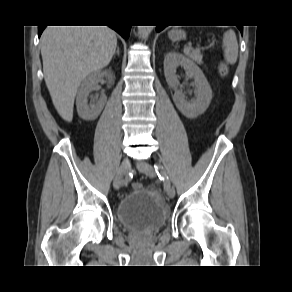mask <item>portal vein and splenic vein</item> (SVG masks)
<instances>
[{
  "label": "portal vein and splenic vein",
  "instance_id": "portal-vein-and-splenic-vein-1",
  "mask_svg": "<svg viewBox=\"0 0 292 292\" xmlns=\"http://www.w3.org/2000/svg\"><path fill=\"white\" fill-rule=\"evenodd\" d=\"M189 49V47L184 48V52L188 51Z\"/></svg>",
  "mask_w": 292,
  "mask_h": 292
}]
</instances>
